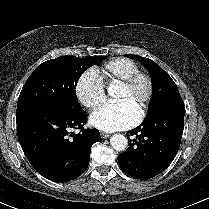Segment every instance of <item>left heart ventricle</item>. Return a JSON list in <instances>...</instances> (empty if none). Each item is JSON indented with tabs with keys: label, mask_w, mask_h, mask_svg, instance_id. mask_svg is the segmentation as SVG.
Segmentation results:
<instances>
[{
	"label": "left heart ventricle",
	"mask_w": 209,
	"mask_h": 209,
	"mask_svg": "<svg viewBox=\"0 0 209 209\" xmlns=\"http://www.w3.org/2000/svg\"><path fill=\"white\" fill-rule=\"evenodd\" d=\"M147 93V85L145 81H138L131 90L118 88L115 98L116 102H128L137 113L140 112Z\"/></svg>",
	"instance_id": "obj_1"
}]
</instances>
